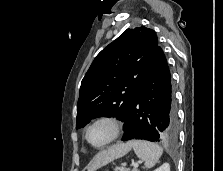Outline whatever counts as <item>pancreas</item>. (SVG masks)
Masks as SVG:
<instances>
[{
	"label": "pancreas",
	"mask_w": 223,
	"mask_h": 171,
	"mask_svg": "<svg viewBox=\"0 0 223 171\" xmlns=\"http://www.w3.org/2000/svg\"><path fill=\"white\" fill-rule=\"evenodd\" d=\"M132 171H139L138 169H134V170H132Z\"/></svg>",
	"instance_id": "1"
}]
</instances>
